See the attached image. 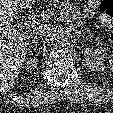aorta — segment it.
<instances>
[{
  "label": "aorta",
  "mask_w": 113,
  "mask_h": 113,
  "mask_svg": "<svg viewBox=\"0 0 113 113\" xmlns=\"http://www.w3.org/2000/svg\"><path fill=\"white\" fill-rule=\"evenodd\" d=\"M70 37L66 30H55L50 38L51 44L55 47H64L69 43Z\"/></svg>",
  "instance_id": "762f6f07"
}]
</instances>
